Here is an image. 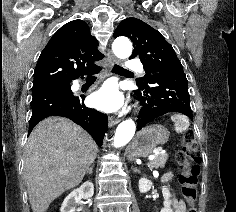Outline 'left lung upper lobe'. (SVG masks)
Returning <instances> with one entry per match:
<instances>
[{"instance_id": "5c2ea615", "label": "left lung upper lobe", "mask_w": 236, "mask_h": 212, "mask_svg": "<svg viewBox=\"0 0 236 212\" xmlns=\"http://www.w3.org/2000/svg\"><path fill=\"white\" fill-rule=\"evenodd\" d=\"M127 36L135 49L131 59L139 57L145 69V76L136 79L137 86H147L150 78L173 67H182L172 46L154 28L136 18H126L114 32V38Z\"/></svg>"}]
</instances>
